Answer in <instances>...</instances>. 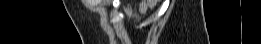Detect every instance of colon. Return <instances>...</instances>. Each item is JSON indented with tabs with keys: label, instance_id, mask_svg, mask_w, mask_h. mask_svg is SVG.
<instances>
[{
	"label": "colon",
	"instance_id": "1",
	"mask_svg": "<svg viewBox=\"0 0 261 44\" xmlns=\"http://www.w3.org/2000/svg\"><path fill=\"white\" fill-rule=\"evenodd\" d=\"M156 0H145V1H143V3L147 6V7H149V8H152V7H154L155 6V4H156Z\"/></svg>",
	"mask_w": 261,
	"mask_h": 44
}]
</instances>
